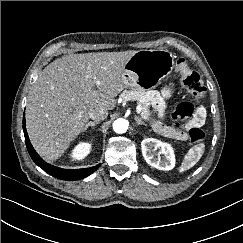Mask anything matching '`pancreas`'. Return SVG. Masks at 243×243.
I'll return each instance as SVG.
<instances>
[{
	"label": "pancreas",
	"mask_w": 243,
	"mask_h": 243,
	"mask_svg": "<svg viewBox=\"0 0 243 243\" xmlns=\"http://www.w3.org/2000/svg\"><path fill=\"white\" fill-rule=\"evenodd\" d=\"M121 98L124 101H140L142 107L141 116L143 119L149 120V116L151 113L149 110V103L145 90H143L142 88H132L131 90H124L121 94Z\"/></svg>",
	"instance_id": "pancreas-1"
}]
</instances>
